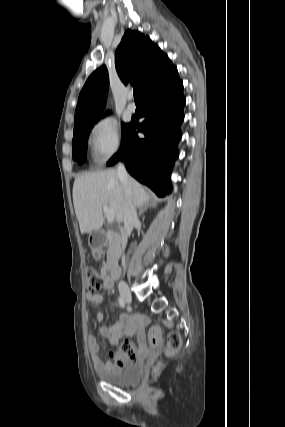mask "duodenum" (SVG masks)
Listing matches in <instances>:
<instances>
[{
	"instance_id": "1",
	"label": "duodenum",
	"mask_w": 285,
	"mask_h": 427,
	"mask_svg": "<svg viewBox=\"0 0 285 427\" xmlns=\"http://www.w3.org/2000/svg\"><path fill=\"white\" fill-rule=\"evenodd\" d=\"M122 240H126V237L123 236ZM119 266L117 259L111 257L108 263L103 267V278L105 282H111L114 278L118 276Z\"/></svg>"
}]
</instances>
